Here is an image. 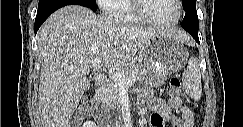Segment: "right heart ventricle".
Returning <instances> with one entry per match:
<instances>
[{
	"label": "right heart ventricle",
	"instance_id": "right-heart-ventricle-1",
	"mask_svg": "<svg viewBox=\"0 0 243 127\" xmlns=\"http://www.w3.org/2000/svg\"><path fill=\"white\" fill-rule=\"evenodd\" d=\"M113 17L121 22L141 24L143 21L133 10V0H114L111 4Z\"/></svg>",
	"mask_w": 243,
	"mask_h": 127
}]
</instances>
